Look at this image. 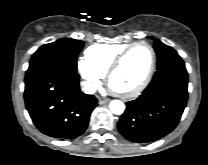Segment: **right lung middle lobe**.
Wrapping results in <instances>:
<instances>
[{"instance_id":"obj_1","label":"right lung middle lobe","mask_w":208,"mask_h":165,"mask_svg":"<svg viewBox=\"0 0 208 165\" xmlns=\"http://www.w3.org/2000/svg\"><path fill=\"white\" fill-rule=\"evenodd\" d=\"M83 46V41L68 38L45 44L32 56L28 70L51 61L64 62L71 67L77 68L76 59Z\"/></svg>"}]
</instances>
